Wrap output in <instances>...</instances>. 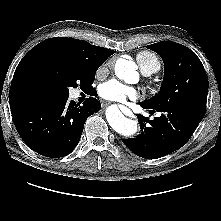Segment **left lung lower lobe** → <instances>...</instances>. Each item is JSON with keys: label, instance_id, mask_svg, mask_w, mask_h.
I'll return each mask as SVG.
<instances>
[{"label": "left lung lower lobe", "instance_id": "left-lung-lower-lobe-1", "mask_svg": "<svg viewBox=\"0 0 221 221\" xmlns=\"http://www.w3.org/2000/svg\"><path fill=\"white\" fill-rule=\"evenodd\" d=\"M150 112H161L160 117L147 120L137 114L141 126V134L135 138L122 139V142L136 155L146 159H157L181 148L190 139L205 110L186 109L174 106L155 110L145 103L140 104Z\"/></svg>", "mask_w": 221, "mask_h": 221}]
</instances>
